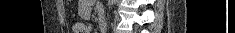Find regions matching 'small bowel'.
Wrapping results in <instances>:
<instances>
[{
	"label": "small bowel",
	"mask_w": 235,
	"mask_h": 33,
	"mask_svg": "<svg viewBox=\"0 0 235 33\" xmlns=\"http://www.w3.org/2000/svg\"><path fill=\"white\" fill-rule=\"evenodd\" d=\"M88 8V5L86 4V2H83L80 5L79 11H85ZM97 11L100 14H102V7L100 5H97Z\"/></svg>",
	"instance_id": "obj_1"
}]
</instances>
